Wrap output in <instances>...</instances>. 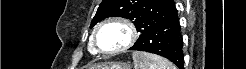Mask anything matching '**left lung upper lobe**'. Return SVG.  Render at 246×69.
Segmentation results:
<instances>
[{
    "label": "left lung upper lobe",
    "mask_w": 246,
    "mask_h": 69,
    "mask_svg": "<svg viewBox=\"0 0 246 69\" xmlns=\"http://www.w3.org/2000/svg\"><path fill=\"white\" fill-rule=\"evenodd\" d=\"M173 0H103L90 28L107 17H123L133 21L141 34L149 27L168 19L176 12Z\"/></svg>",
    "instance_id": "obj_1"
}]
</instances>
